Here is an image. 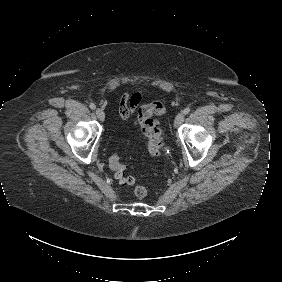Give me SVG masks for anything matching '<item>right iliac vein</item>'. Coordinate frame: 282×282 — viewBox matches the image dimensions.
<instances>
[{"mask_svg":"<svg viewBox=\"0 0 282 282\" xmlns=\"http://www.w3.org/2000/svg\"><path fill=\"white\" fill-rule=\"evenodd\" d=\"M95 112H96V115H97L98 119H99L100 121H104V119H105V113H104L103 109L97 108Z\"/></svg>","mask_w":282,"mask_h":282,"instance_id":"1","label":"right iliac vein"}]
</instances>
